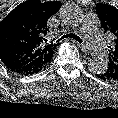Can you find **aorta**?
I'll use <instances>...</instances> for the list:
<instances>
[{
    "label": "aorta",
    "instance_id": "aorta-1",
    "mask_svg": "<svg viewBox=\"0 0 118 118\" xmlns=\"http://www.w3.org/2000/svg\"><path fill=\"white\" fill-rule=\"evenodd\" d=\"M60 18L65 24L76 27L82 21V11L75 4H67L62 8ZM88 69L94 74H103L107 71L108 64L101 57H93L88 62Z\"/></svg>",
    "mask_w": 118,
    "mask_h": 118
}]
</instances>
